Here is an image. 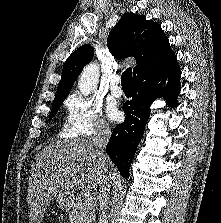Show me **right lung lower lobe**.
<instances>
[{"label":"right lung lower lobe","instance_id":"98d812e1","mask_svg":"<svg viewBox=\"0 0 221 223\" xmlns=\"http://www.w3.org/2000/svg\"><path fill=\"white\" fill-rule=\"evenodd\" d=\"M180 77V68L175 65L159 75L133 81L132 100L123 105L125 122L115 127L106 147L107 154L122 176H129V168L149 119L152 102L163 96L169 107H177V96L181 90ZM162 86L165 89H161Z\"/></svg>","mask_w":221,"mask_h":223}]
</instances>
